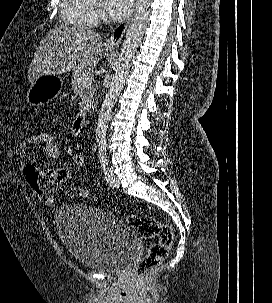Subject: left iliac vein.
I'll list each match as a JSON object with an SVG mask.
<instances>
[{"label":"left iliac vein","instance_id":"4c4485c4","mask_svg":"<svg viewBox=\"0 0 272 303\" xmlns=\"http://www.w3.org/2000/svg\"><path fill=\"white\" fill-rule=\"evenodd\" d=\"M106 181L113 187L118 188L120 186V181L118 177L114 174L113 170L110 167H107L104 170Z\"/></svg>","mask_w":272,"mask_h":303}]
</instances>
